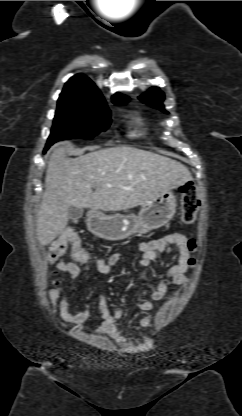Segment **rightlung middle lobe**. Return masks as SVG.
<instances>
[{"label": "right lung middle lobe", "instance_id": "obj_1", "mask_svg": "<svg viewBox=\"0 0 242 416\" xmlns=\"http://www.w3.org/2000/svg\"><path fill=\"white\" fill-rule=\"evenodd\" d=\"M127 100L115 103L125 105ZM111 123L106 102L71 103L58 102L51 134L45 151L63 139H91L106 130Z\"/></svg>", "mask_w": 242, "mask_h": 416}]
</instances>
